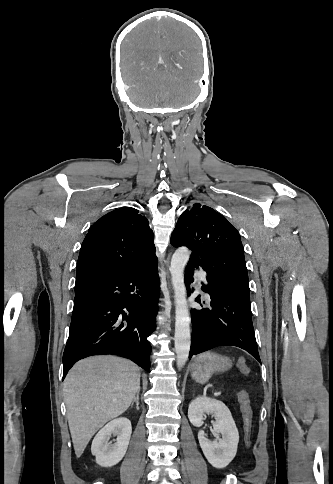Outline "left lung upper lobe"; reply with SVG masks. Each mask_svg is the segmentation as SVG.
Returning <instances> with one entry per match:
<instances>
[{
    "mask_svg": "<svg viewBox=\"0 0 333 484\" xmlns=\"http://www.w3.org/2000/svg\"><path fill=\"white\" fill-rule=\"evenodd\" d=\"M236 243L241 248L240 235L221 214L212 208L194 204L178 219L171 235L173 246H187L192 252L201 254L219 244Z\"/></svg>",
    "mask_w": 333,
    "mask_h": 484,
    "instance_id": "obj_1",
    "label": "left lung upper lobe"
}]
</instances>
